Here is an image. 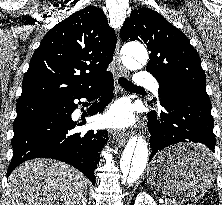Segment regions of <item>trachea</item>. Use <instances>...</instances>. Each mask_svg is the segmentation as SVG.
I'll use <instances>...</instances> for the list:
<instances>
[{"mask_svg": "<svg viewBox=\"0 0 222 205\" xmlns=\"http://www.w3.org/2000/svg\"><path fill=\"white\" fill-rule=\"evenodd\" d=\"M118 82L124 89H127V90H144L143 88L134 85L131 81H128L124 77H120L118 79Z\"/></svg>", "mask_w": 222, "mask_h": 205, "instance_id": "trachea-1", "label": "trachea"}]
</instances>
